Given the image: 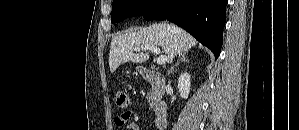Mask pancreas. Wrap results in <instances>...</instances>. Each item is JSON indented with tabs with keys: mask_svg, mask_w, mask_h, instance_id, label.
I'll return each instance as SVG.
<instances>
[{
	"mask_svg": "<svg viewBox=\"0 0 299 130\" xmlns=\"http://www.w3.org/2000/svg\"><path fill=\"white\" fill-rule=\"evenodd\" d=\"M147 100H148L149 105L153 106V104H154V93H153V91H150L147 94Z\"/></svg>",
	"mask_w": 299,
	"mask_h": 130,
	"instance_id": "obj_1",
	"label": "pancreas"
}]
</instances>
